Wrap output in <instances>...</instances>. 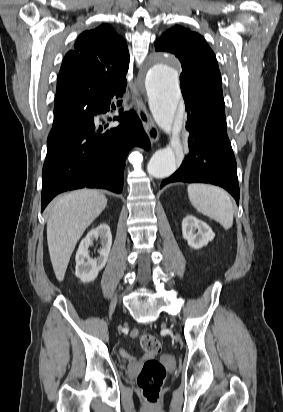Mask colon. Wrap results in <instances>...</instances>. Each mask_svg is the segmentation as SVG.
Segmentation results:
<instances>
[{
    "instance_id": "colon-1",
    "label": "colon",
    "mask_w": 283,
    "mask_h": 412,
    "mask_svg": "<svg viewBox=\"0 0 283 412\" xmlns=\"http://www.w3.org/2000/svg\"><path fill=\"white\" fill-rule=\"evenodd\" d=\"M141 347L151 353L157 354L162 350L161 342L149 333H138ZM166 377L164 366L155 359L147 360L137 378L138 387L144 399L150 404H157L160 398L162 385Z\"/></svg>"
}]
</instances>
